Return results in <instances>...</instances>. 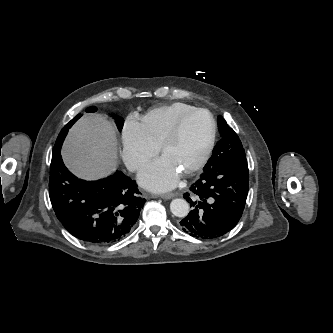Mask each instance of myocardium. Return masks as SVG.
<instances>
[{
	"label": "myocardium",
	"mask_w": 333,
	"mask_h": 333,
	"mask_svg": "<svg viewBox=\"0 0 333 333\" xmlns=\"http://www.w3.org/2000/svg\"><path fill=\"white\" fill-rule=\"evenodd\" d=\"M198 112H204L208 115L210 120V132L202 154L200 155L199 159L194 165H192L190 168L182 172L184 176H190L196 173L197 171L202 169L209 160V157L214 148L216 133H217V124L213 114L208 109L202 107H195L189 111H186L181 116H179L178 119L174 122V124L171 126V128L164 136L159 145V150L163 154L165 149L179 137L182 126L186 121V119Z\"/></svg>",
	"instance_id": "1"
}]
</instances>
